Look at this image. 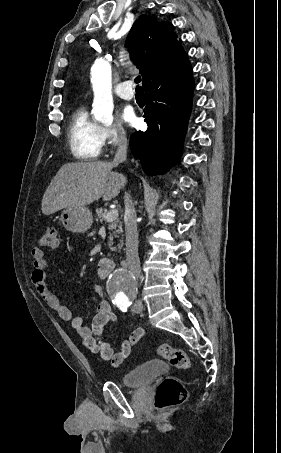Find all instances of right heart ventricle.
<instances>
[{
	"mask_svg": "<svg viewBox=\"0 0 281 453\" xmlns=\"http://www.w3.org/2000/svg\"><path fill=\"white\" fill-rule=\"evenodd\" d=\"M68 134L72 153L80 160H95L105 144L104 127L81 105L70 116Z\"/></svg>",
	"mask_w": 281,
	"mask_h": 453,
	"instance_id": "right-heart-ventricle-1",
	"label": "right heart ventricle"
}]
</instances>
